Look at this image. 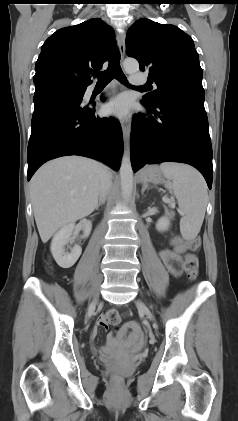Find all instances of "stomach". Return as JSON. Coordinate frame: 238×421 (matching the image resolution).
Instances as JSON below:
<instances>
[{
	"mask_svg": "<svg viewBox=\"0 0 238 421\" xmlns=\"http://www.w3.org/2000/svg\"><path fill=\"white\" fill-rule=\"evenodd\" d=\"M142 182L160 184L163 182V174L157 165L146 166L139 174Z\"/></svg>",
	"mask_w": 238,
	"mask_h": 421,
	"instance_id": "1",
	"label": "stomach"
}]
</instances>
